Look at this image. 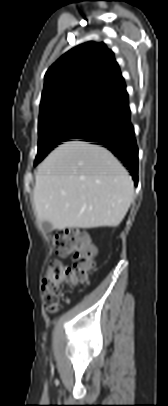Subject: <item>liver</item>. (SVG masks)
Here are the masks:
<instances>
[{"label":"liver","mask_w":168,"mask_h":406,"mask_svg":"<svg viewBox=\"0 0 168 406\" xmlns=\"http://www.w3.org/2000/svg\"><path fill=\"white\" fill-rule=\"evenodd\" d=\"M132 178L107 149L67 141L38 166L37 219L54 229L116 227L133 200Z\"/></svg>","instance_id":"liver-1"}]
</instances>
